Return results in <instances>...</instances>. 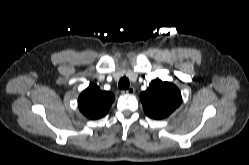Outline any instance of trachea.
<instances>
[{"mask_svg": "<svg viewBox=\"0 0 249 165\" xmlns=\"http://www.w3.org/2000/svg\"><path fill=\"white\" fill-rule=\"evenodd\" d=\"M129 80L127 77H122L118 83V88L120 90H127L129 88Z\"/></svg>", "mask_w": 249, "mask_h": 165, "instance_id": "obj_1", "label": "trachea"}]
</instances>
